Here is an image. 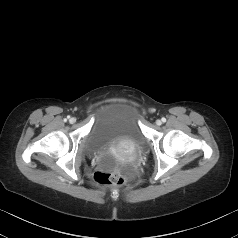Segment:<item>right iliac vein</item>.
<instances>
[{
    "label": "right iliac vein",
    "mask_w": 238,
    "mask_h": 238,
    "mask_svg": "<svg viewBox=\"0 0 238 238\" xmlns=\"http://www.w3.org/2000/svg\"><path fill=\"white\" fill-rule=\"evenodd\" d=\"M69 122H70L71 124L75 123V122H76V118H74V117L70 118V119H69Z\"/></svg>",
    "instance_id": "63e3f726"
}]
</instances>
